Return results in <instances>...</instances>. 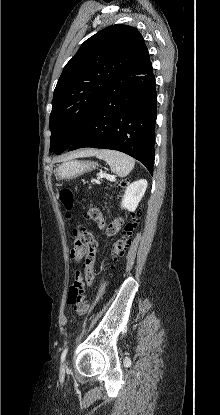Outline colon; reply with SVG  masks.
Here are the masks:
<instances>
[{"label":"colon","instance_id":"colon-1","mask_svg":"<svg viewBox=\"0 0 220 415\" xmlns=\"http://www.w3.org/2000/svg\"><path fill=\"white\" fill-rule=\"evenodd\" d=\"M125 184L126 181L120 183L122 186ZM61 201L67 209H70L74 202L73 193L70 190L64 191L61 194ZM85 217L87 220L96 222L110 237L117 235L120 230H123L122 237L115 240L112 246V257L117 259L127 247L129 239L136 228L137 218L135 214L127 223H124L121 217H117L113 221L105 223L99 208L90 207L85 212ZM73 234L75 241L71 248V258L77 262L84 260L85 271L84 280L79 273H76L75 280L69 290L68 303L72 308H75L83 315L89 308V302L86 296L87 287L92 286L95 282L93 266L96 259V242L89 232L87 223H78L74 225Z\"/></svg>","mask_w":220,"mask_h":415}]
</instances>
